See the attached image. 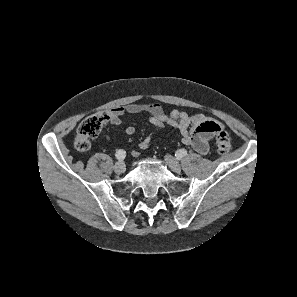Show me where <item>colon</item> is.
<instances>
[{"instance_id": "5ec220e1", "label": "colon", "mask_w": 297, "mask_h": 297, "mask_svg": "<svg viewBox=\"0 0 297 297\" xmlns=\"http://www.w3.org/2000/svg\"><path fill=\"white\" fill-rule=\"evenodd\" d=\"M110 114L99 112L85 118L77 128L74 148L79 152L89 150L91 140L97 137L102 127L109 121ZM216 150L220 155H225L231 150V139L227 132L220 131L215 139Z\"/></svg>"}]
</instances>
